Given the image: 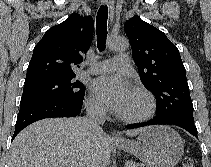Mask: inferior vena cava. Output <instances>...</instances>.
<instances>
[{"instance_id": "obj_1", "label": "inferior vena cava", "mask_w": 211, "mask_h": 167, "mask_svg": "<svg viewBox=\"0 0 211 167\" xmlns=\"http://www.w3.org/2000/svg\"><path fill=\"white\" fill-rule=\"evenodd\" d=\"M86 111L84 128L93 138H97L103 133L101 125L105 122L106 110L101 104L95 103L87 106Z\"/></svg>"}]
</instances>
